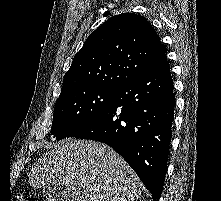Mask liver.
<instances>
[{
    "mask_svg": "<svg viewBox=\"0 0 221 201\" xmlns=\"http://www.w3.org/2000/svg\"><path fill=\"white\" fill-rule=\"evenodd\" d=\"M29 184L65 186L69 201H134L143 189L136 173L112 148L77 139L50 146L32 167Z\"/></svg>",
    "mask_w": 221,
    "mask_h": 201,
    "instance_id": "obj_1",
    "label": "liver"
}]
</instances>
